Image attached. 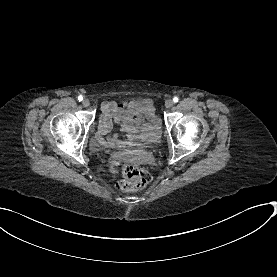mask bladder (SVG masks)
<instances>
[{"mask_svg":"<svg viewBox=\"0 0 277 277\" xmlns=\"http://www.w3.org/2000/svg\"><path fill=\"white\" fill-rule=\"evenodd\" d=\"M161 137V130L159 127L155 128L148 136L150 140H159Z\"/></svg>","mask_w":277,"mask_h":277,"instance_id":"bladder-1","label":"bladder"}]
</instances>
